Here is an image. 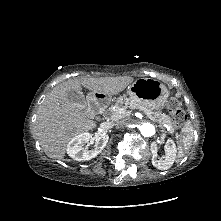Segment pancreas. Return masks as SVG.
<instances>
[{
    "mask_svg": "<svg viewBox=\"0 0 221 221\" xmlns=\"http://www.w3.org/2000/svg\"><path fill=\"white\" fill-rule=\"evenodd\" d=\"M119 108H130L132 110H140L142 112H144L149 118H151L152 120L158 122L160 125H163L165 127L168 126L169 127V131L172 133L174 131V126L172 123L171 118L166 115V114H162L160 112H152L151 109H149L146 106H142L140 104H138L135 101L130 100V98H127L126 96H119L116 100V104L114 106V108H109L105 111V113L112 117L113 119H117L122 117L123 115H119L118 114V109Z\"/></svg>",
    "mask_w": 221,
    "mask_h": 221,
    "instance_id": "pancreas-1",
    "label": "pancreas"
}]
</instances>
